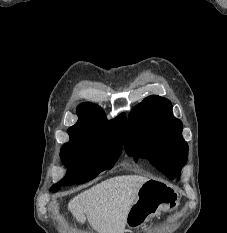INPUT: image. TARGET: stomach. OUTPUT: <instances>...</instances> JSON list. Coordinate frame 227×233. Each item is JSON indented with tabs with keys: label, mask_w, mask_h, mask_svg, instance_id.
Listing matches in <instances>:
<instances>
[{
	"label": "stomach",
	"mask_w": 227,
	"mask_h": 233,
	"mask_svg": "<svg viewBox=\"0 0 227 233\" xmlns=\"http://www.w3.org/2000/svg\"><path fill=\"white\" fill-rule=\"evenodd\" d=\"M178 201V194L172 186L162 181L148 180L138 190L137 199L127 216V225L138 228L160 211L175 209Z\"/></svg>",
	"instance_id": "1"
}]
</instances>
